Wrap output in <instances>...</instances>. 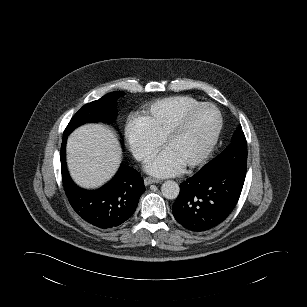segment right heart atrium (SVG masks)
I'll return each instance as SVG.
<instances>
[{"instance_id": "obj_1", "label": "right heart atrium", "mask_w": 307, "mask_h": 307, "mask_svg": "<svg viewBox=\"0 0 307 307\" xmlns=\"http://www.w3.org/2000/svg\"><path fill=\"white\" fill-rule=\"evenodd\" d=\"M125 138L130 151L141 162L148 161L161 144V140L153 134L143 118L139 116L131 117L127 121Z\"/></svg>"}]
</instances>
